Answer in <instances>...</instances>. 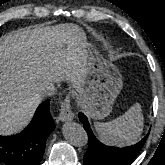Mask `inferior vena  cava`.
Instances as JSON below:
<instances>
[{"mask_svg":"<svg viewBox=\"0 0 165 165\" xmlns=\"http://www.w3.org/2000/svg\"><path fill=\"white\" fill-rule=\"evenodd\" d=\"M56 93V86L52 82H45L41 87V94L45 96H52Z\"/></svg>","mask_w":165,"mask_h":165,"instance_id":"602c4592","label":"inferior vena cava"}]
</instances>
